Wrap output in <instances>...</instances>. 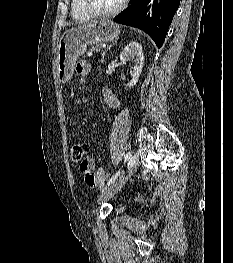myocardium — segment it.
Segmentation results:
<instances>
[{
    "label": "myocardium",
    "mask_w": 233,
    "mask_h": 263,
    "mask_svg": "<svg viewBox=\"0 0 233 263\" xmlns=\"http://www.w3.org/2000/svg\"><path fill=\"white\" fill-rule=\"evenodd\" d=\"M81 1V6L83 8V10L90 16V17H93V18H107V17H111V16H114L116 14H118L125 6L127 0H120L119 4L109 10V11H104V12H101V11H97L95 9H93L88 0H80Z\"/></svg>",
    "instance_id": "1"
}]
</instances>
